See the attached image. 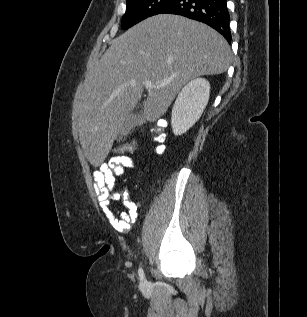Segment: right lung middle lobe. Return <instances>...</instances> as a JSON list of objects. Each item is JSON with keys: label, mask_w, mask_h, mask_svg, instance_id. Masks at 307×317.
Returning <instances> with one entry per match:
<instances>
[{"label": "right lung middle lobe", "mask_w": 307, "mask_h": 317, "mask_svg": "<svg viewBox=\"0 0 307 317\" xmlns=\"http://www.w3.org/2000/svg\"><path fill=\"white\" fill-rule=\"evenodd\" d=\"M174 0H126V12L122 17V29H128L138 22L157 15Z\"/></svg>", "instance_id": "dd1d6c3e"}]
</instances>
